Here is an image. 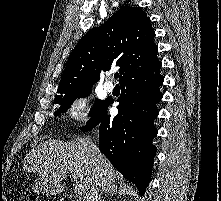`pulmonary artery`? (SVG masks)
Returning <instances> with one entry per match:
<instances>
[{
  "label": "pulmonary artery",
  "instance_id": "pulmonary-artery-1",
  "mask_svg": "<svg viewBox=\"0 0 221 201\" xmlns=\"http://www.w3.org/2000/svg\"><path fill=\"white\" fill-rule=\"evenodd\" d=\"M103 88H104V90L107 91V92H112L113 89H114V85L112 84V82L106 81V82L103 84Z\"/></svg>",
  "mask_w": 221,
  "mask_h": 201
}]
</instances>
